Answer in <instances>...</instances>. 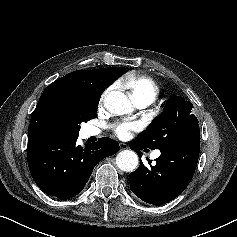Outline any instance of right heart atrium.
Here are the masks:
<instances>
[{
	"instance_id": "d8ad5b80",
	"label": "right heart atrium",
	"mask_w": 237,
	"mask_h": 237,
	"mask_svg": "<svg viewBox=\"0 0 237 237\" xmlns=\"http://www.w3.org/2000/svg\"><path fill=\"white\" fill-rule=\"evenodd\" d=\"M113 88H108L105 90V92L102 94L101 100H104V98L107 96V94L112 90Z\"/></svg>"
}]
</instances>
